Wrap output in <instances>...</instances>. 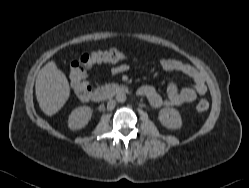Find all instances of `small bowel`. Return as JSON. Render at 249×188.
<instances>
[{
    "instance_id": "c3829d8e",
    "label": "small bowel",
    "mask_w": 249,
    "mask_h": 188,
    "mask_svg": "<svg viewBox=\"0 0 249 188\" xmlns=\"http://www.w3.org/2000/svg\"><path fill=\"white\" fill-rule=\"evenodd\" d=\"M160 67L165 71H177L186 75L193 81L194 86L179 89L175 82H170L166 87V96L159 94L153 86H141L137 94L145 97L153 107L181 106L206 94L205 80L192 65L173 58H163L160 60ZM126 69L125 64H119L114 67L113 72L122 73Z\"/></svg>"
}]
</instances>
